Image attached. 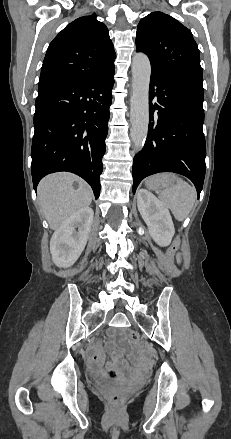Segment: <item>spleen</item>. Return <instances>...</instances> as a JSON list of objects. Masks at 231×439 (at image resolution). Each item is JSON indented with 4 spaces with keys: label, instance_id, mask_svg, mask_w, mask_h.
Masks as SVG:
<instances>
[{
    "label": "spleen",
    "instance_id": "obj_1",
    "mask_svg": "<svg viewBox=\"0 0 231 439\" xmlns=\"http://www.w3.org/2000/svg\"><path fill=\"white\" fill-rule=\"evenodd\" d=\"M176 180L175 185L160 191L158 195L176 220L183 221L192 210L197 193L187 182L181 179Z\"/></svg>",
    "mask_w": 231,
    "mask_h": 439
}]
</instances>
